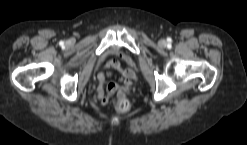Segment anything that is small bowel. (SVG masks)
Returning a JSON list of instances; mask_svg holds the SVG:
<instances>
[{"instance_id":"c3829d8e","label":"small bowel","mask_w":247,"mask_h":145,"mask_svg":"<svg viewBox=\"0 0 247 145\" xmlns=\"http://www.w3.org/2000/svg\"><path fill=\"white\" fill-rule=\"evenodd\" d=\"M116 69L120 72L119 84H111L108 88L105 87V81L110 73H105L103 70L97 75V90L98 97L102 105H107L110 102V95L116 94L118 97H125L126 91L131 87V81L135 78V74L131 69H122L119 61L111 60L107 62L103 69ZM111 88L112 92H109Z\"/></svg>"}]
</instances>
